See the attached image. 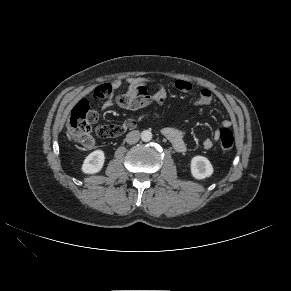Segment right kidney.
I'll return each mask as SVG.
<instances>
[{
    "label": "right kidney",
    "instance_id": "right-kidney-1",
    "mask_svg": "<svg viewBox=\"0 0 291 291\" xmlns=\"http://www.w3.org/2000/svg\"><path fill=\"white\" fill-rule=\"evenodd\" d=\"M105 155L102 150H96L90 153L84 160L82 172L85 174H95L100 172L104 165Z\"/></svg>",
    "mask_w": 291,
    "mask_h": 291
}]
</instances>
